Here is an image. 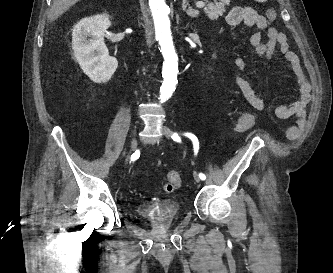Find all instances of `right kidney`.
Wrapping results in <instances>:
<instances>
[{
	"label": "right kidney",
	"instance_id": "obj_1",
	"mask_svg": "<svg viewBox=\"0 0 333 273\" xmlns=\"http://www.w3.org/2000/svg\"><path fill=\"white\" fill-rule=\"evenodd\" d=\"M109 15L97 14L80 20L72 31V50L82 71L95 83L110 80L118 67L116 58L109 56L104 43ZM90 37V39H88Z\"/></svg>",
	"mask_w": 333,
	"mask_h": 273
}]
</instances>
